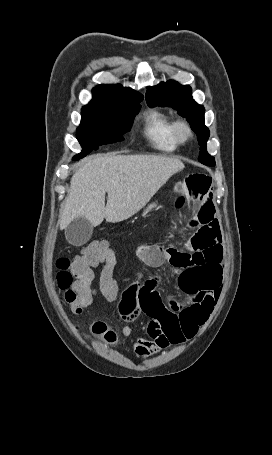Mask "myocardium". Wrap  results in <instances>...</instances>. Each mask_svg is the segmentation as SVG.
<instances>
[{
    "instance_id": "obj_1",
    "label": "myocardium",
    "mask_w": 272,
    "mask_h": 455,
    "mask_svg": "<svg viewBox=\"0 0 272 455\" xmlns=\"http://www.w3.org/2000/svg\"><path fill=\"white\" fill-rule=\"evenodd\" d=\"M173 135L178 145H184L192 138L193 131L187 122L177 120L173 124Z\"/></svg>"
}]
</instances>
